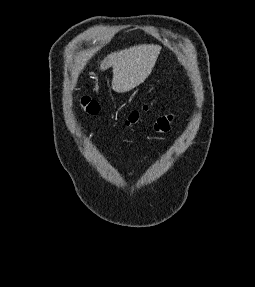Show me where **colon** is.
<instances>
[{"instance_id": "1", "label": "colon", "mask_w": 255, "mask_h": 287, "mask_svg": "<svg viewBox=\"0 0 255 287\" xmlns=\"http://www.w3.org/2000/svg\"><path fill=\"white\" fill-rule=\"evenodd\" d=\"M80 107L86 114H89V115H96L98 114L100 110L98 102L87 96H84L80 99ZM147 108L148 106H144L143 110H147ZM140 116H141L140 110L132 111L126 119V124L127 125L136 124L138 120L140 119Z\"/></svg>"}]
</instances>
